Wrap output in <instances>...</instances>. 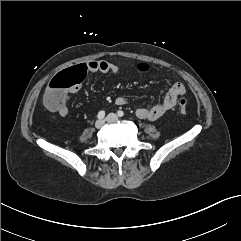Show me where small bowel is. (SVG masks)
Masks as SVG:
<instances>
[{"instance_id": "obj_1", "label": "small bowel", "mask_w": 241, "mask_h": 241, "mask_svg": "<svg viewBox=\"0 0 241 241\" xmlns=\"http://www.w3.org/2000/svg\"><path fill=\"white\" fill-rule=\"evenodd\" d=\"M87 68V71L90 72H100L103 74H117L119 72V67L108 61H89L87 63H82ZM80 89V86L77 85L74 87L70 93H76ZM185 86L180 83H174L171 88L168 90L162 102L147 108V107H139L137 109V116L141 119H147L150 121H154L162 117L165 113L171 110L177 103V100L180 96L185 94ZM68 94L65 93L63 95V99L60 104L56 105L53 108H49L50 111L59 114L62 117H66L69 114V109L66 106ZM114 103L117 106H123L128 103V99L124 96H117L114 99Z\"/></svg>"}]
</instances>
